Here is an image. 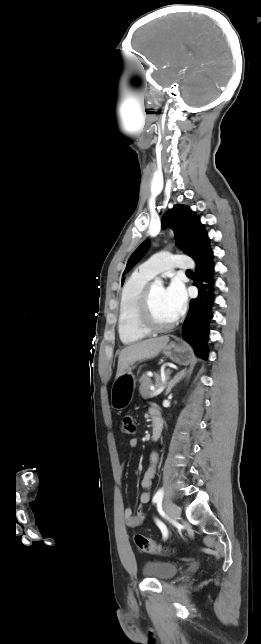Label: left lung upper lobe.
Instances as JSON below:
<instances>
[{"label": "left lung upper lobe", "instance_id": "5c2ea615", "mask_svg": "<svg viewBox=\"0 0 261 644\" xmlns=\"http://www.w3.org/2000/svg\"><path fill=\"white\" fill-rule=\"evenodd\" d=\"M162 227H170L175 233V245L180 247L196 263L203 261L212 254L209 248V238L199 218L183 205H175L164 214ZM148 241L143 242L131 255L127 262L125 273L145 254ZM125 276H122V284Z\"/></svg>", "mask_w": 261, "mask_h": 644}]
</instances>
